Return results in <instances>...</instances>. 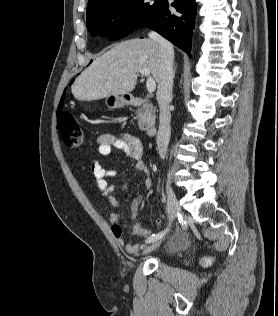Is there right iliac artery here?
Returning a JSON list of instances; mask_svg holds the SVG:
<instances>
[{"mask_svg": "<svg viewBox=\"0 0 278 316\" xmlns=\"http://www.w3.org/2000/svg\"><path fill=\"white\" fill-rule=\"evenodd\" d=\"M167 231H168V229H166L165 231H162V232H160V233L151 235V236L146 240V242H147V243H151V242H154V241H156V240H158V239H161V238L165 235V233H166Z\"/></svg>", "mask_w": 278, "mask_h": 316, "instance_id": "right-iliac-artery-1", "label": "right iliac artery"}]
</instances>
